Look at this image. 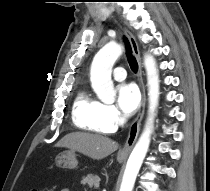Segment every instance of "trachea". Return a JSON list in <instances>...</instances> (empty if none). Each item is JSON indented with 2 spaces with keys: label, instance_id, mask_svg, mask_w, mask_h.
Returning a JSON list of instances; mask_svg holds the SVG:
<instances>
[{
  "label": "trachea",
  "instance_id": "obj_1",
  "mask_svg": "<svg viewBox=\"0 0 210 191\" xmlns=\"http://www.w3.org/2000/svg\"><path fill=\"white\" fill-rule=\"evenodd\" d=\"M125 44H126V50H127V56H128L130 68L133 72L136 73L138 70V63H137L136 59L134 57H132V55H131V47H130V44L127 39H125Z\"/></svg>",
  "mask_w": 210,
  "mask_h": 191
}]
</instances>
